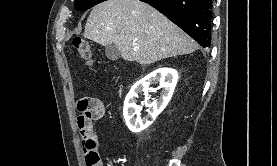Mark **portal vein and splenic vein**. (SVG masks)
I'll use <instances>...</instances> for the list:
<instances>
[{"instance_id":"obj_1","label":"portal vein and splenic vein","mask_w":277,"mask_h":166,"mask_svg":"<svg viewBox=\"0 0 277 166\" xmlns=\"http://www.w3.org/2000/svg\"><path fill=\"white\" fill-rule=\"evenodd\" d=\"M133 50H134V51H137V48H134Z\"/></svg>"}]
</instances>
